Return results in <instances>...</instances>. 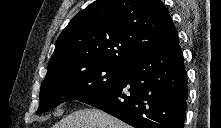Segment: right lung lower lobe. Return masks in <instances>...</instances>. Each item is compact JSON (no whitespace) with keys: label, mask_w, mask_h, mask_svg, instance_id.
Segmentation results:
<instances>
[{"label":"right lung lower lobe","mask_w":221,"mask_h":128,"mask_svg":"<svg viewBox=\"0 0 221 128\" xmlns=\"http://www.w3.org/2000/svg\"><path fill=\"white\" fill-rule=\"evenodd\" d=\"M187 98V73L178 45L136 59L116 84L81 102L134 128H183Z\"/></svg>","instance_id":"1"}]
</instances>
